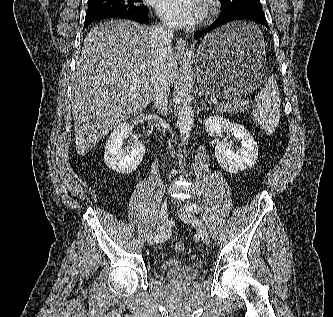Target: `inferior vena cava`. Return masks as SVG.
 Masks as SVG:
<instances>
[{"instance_id":"602c4592","label":"inferior vena cava","mask_w":333,"mask_h":317,"mask_svg":"<svg viewBox=\"0 0 333 317\" xmlns=\"http://www.w3.org/2000/svg\"><path fill=\"white\" fill-rule=\"evenodd\" d=\"M154 37L158 40L161 50L171 47L174 28L168 24L157 25L152 28ZM170 93V82L164 73H159L153 83L152 99L154 108L165 115L168 111V96Z\"/></svg>"}]
</instances>
